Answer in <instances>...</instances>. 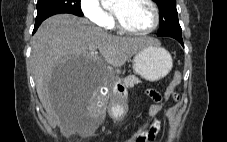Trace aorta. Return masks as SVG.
Returning <instances> with one entry per match:
<instances>
[{"label":"aorta","instance_id":"762f6f07","mask_svg":"<svg viewBox=\"0 0 227 142\" xmlns=\"http://www.w3.org/2000/svg\"><path fill=\"white\" fill-rule=\"evenodd\" d=\"M115 0H101L103 6L112 4Z\"/></svg>","mask_w":227,"mask_h":142}]
</instances>
